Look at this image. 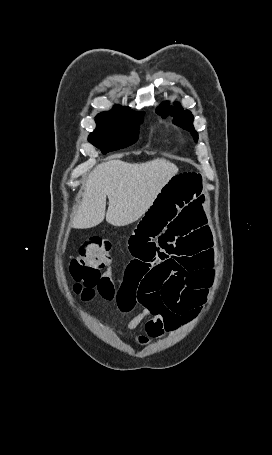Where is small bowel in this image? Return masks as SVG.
I'll use <instances>...</instances> for the list:
<instances>
[{"label":"small bowel","mask_w":272,"mask_h":455,"mask_svg":"<svg viewBox=\"0 0 272 455\" xmlns=\"http://www.w3.org/2000/svg\"><path fill=\"white\" fill-rule=\"evenodd\" d=\"M204 179L192 171L173 175L130 237L132 260L115 301L128 331L144 321L139 345L190 321L212 281V235L203 211Z\"/></svg>","instance_id":"1"}]
</instances>
